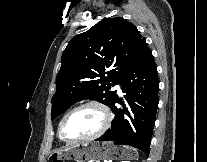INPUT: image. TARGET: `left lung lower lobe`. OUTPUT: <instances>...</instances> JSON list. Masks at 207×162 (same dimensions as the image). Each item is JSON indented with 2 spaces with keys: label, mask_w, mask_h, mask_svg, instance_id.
<instances>
[{
  "label": "left lung lower lobe",
  "mask_w": 207,
  "mask_h": 162,
  "mask_svg": "<svg viewBox=\"0 0 207 162\" xmlns=\"http://www.w3.org/2000/svg\"><path fill=\"white\" fill-rule=\"evenodd\" d=\"M125 102L116 96L111 105L115 114L111 129L96 141H115L149 154L155 115L159 103L157 66L150 49L125 74L120 82ZM123 108H117L115 103Z\"/></svg>",
  "instance_id": "0a47b994"
}]
</instances>
